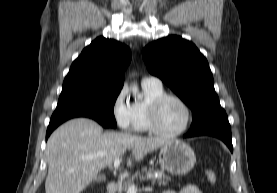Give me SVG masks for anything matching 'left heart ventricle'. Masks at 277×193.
Here are the masks:
<instances>
[{"instance_id":"obj_1","label":"left heart ventricle","mask_w":277,"mask_h":193,"mask_svg":"<svg viewBox=\"0 0 277 193\" xmlns=\"http://www.w3.org/2000/svg\"><path fill=\"white\" fill-rule=\"evenodd\" d=\"M186 112L182 105L173 99L166 100L159 110V123L163 130L174 132L183 127Z\"/></svg>"}]
</instances>
